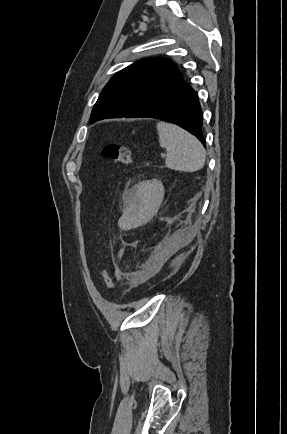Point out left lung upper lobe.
Returning <instances> with one entry per match:
<instances>
[{"label": "left lung upper lobe", "instance_id": "5c2ea615", "mask_svg": "<svg viewBox=\"0 0 287 434\" xmlns=\"http://www.w3.org/2000/svg\"><path fill=\"white\" fill-rule=\"evenodd\" d=\"M184 80L176 65L164 58L135 62L116 73L92 109L91 122L133 117L179 88Z\"/></svg>", "mask_w": 287, "mask_h": 434}]
</instances>
